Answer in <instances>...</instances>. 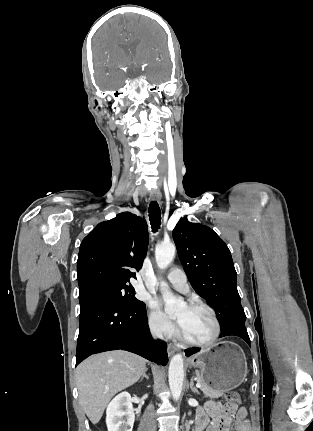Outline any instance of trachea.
Masks as SVG:
<instances>
[{
    "label": "trachea",
    "mask_w": 313,
    "mask_h": 431,
    "mask_svg": "<svg viewBox=\"0 0 313 431\" xmlns=\"http://www.w3.org/2000/svg\"><path fill=\"white\" fill-rule=\"evenodd\" d=\"M149 220L152 231L156 232L161 225V211L156 201H152L149 205Z\"/></svg>",
    "instance_id": "1"
}]
</instances>
